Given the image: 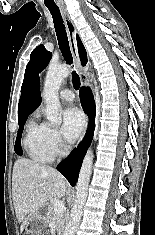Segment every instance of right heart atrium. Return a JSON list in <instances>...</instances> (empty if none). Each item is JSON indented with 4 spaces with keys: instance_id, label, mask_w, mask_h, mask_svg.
I'll use <instances>...</instances> for the list:
<instances>
[{
    "instance_id": "obj_1",
    "label": "right heart atrium",
    "mask_w": 155,
    "mask_h": 235,
    "mask_svg": "<svg viewBox=\"0 0 155 235\" xmlns=\"http://www.w3.org/2000/svg\"><path fill=\"white\" fill-rule=\"evenodd\" d=\"M46 142L54 154L60 153L65 149V144L59 131L51 126L44 124Z\"/></svg>"
}]
</instances>
